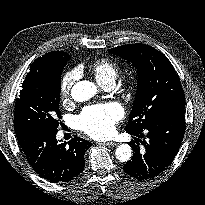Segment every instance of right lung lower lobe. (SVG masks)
Returning a JSON list of instances; mask_svg holds the SVG:
<instances>
[{"label": "right lung lower lobe", "mask_w": 205, "mask_h": 205, "mask_svg": "<svg viewBox=\"0 0 205 205\" xmlns=\"http://www.w3.org/2000/svg\"><path fill=\"white\" fill-rule=\"evenodd\" d=\"M57 131L28 129L16 132L17 140L29 164L42 178L65 183L84 170V154L92 143L75 136L68 145L56 139Z\"/></svg>", "instance_id": "right-lung-lower-lobe-1"}]
</instances>
